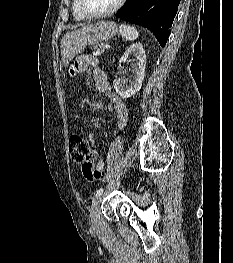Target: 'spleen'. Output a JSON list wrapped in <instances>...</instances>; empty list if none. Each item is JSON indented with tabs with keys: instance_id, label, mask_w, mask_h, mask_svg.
<instances>
[{
	"instance_id": "3e777b00",
	"label": "spleen",
	"mask_w": 233,
	"mask_h": 263,
	"mask_svg": "<svg viewBox=\"0 0 233 263\" xmlns=\"http://www.w3.org/2000/svg\"><path fill=\"white\" fill-rule=\"evenodd\" d=\"M119 31L123 39H125L126 41H134L139 36L136 28L130 25L121 24L119 27Z\"/></svg>"
}]
</instances>
